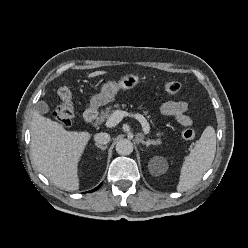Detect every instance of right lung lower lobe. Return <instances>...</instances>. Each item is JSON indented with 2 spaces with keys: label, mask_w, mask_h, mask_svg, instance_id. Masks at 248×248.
I'll return each mask as SVG.
<instances>
[{
  "label": "right lung lower lobe",
  "mask_w": 248,
  "mask_h": 248,
  "mask_svg": "<svg viewBox=\"0 0 248 248\" xmlns=\"http://www.w3.org/2000/svg\"><path fill=\"white\" fill-rule=\"evenodd\" d=\"M102 184H100L97 188H95L94 190H92V191H95L96 189H98L100 186H101Z\"/></svg>",
  "instance_id": "98d812e1"
}]
</instances>
